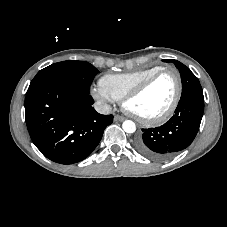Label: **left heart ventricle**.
<instances>
[{
  "mask_svg": "<svg viewBox=\"0 0 227 227\" xmlns=\"http://www.w3.org/2000/svg\"><path fill=\"white\" fill-rule=\"evenodd\" d=\"M176 92V79L167 72L157 77L146 90L128 102V108L142 117H155L164 112Z\"/></svg>",
  "mask_w": 227,
  "mask_h": 227,
  "instance_id": "1",
  "label": "left heart ventricle"
}]
</instances>
